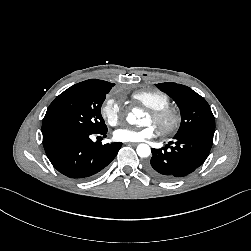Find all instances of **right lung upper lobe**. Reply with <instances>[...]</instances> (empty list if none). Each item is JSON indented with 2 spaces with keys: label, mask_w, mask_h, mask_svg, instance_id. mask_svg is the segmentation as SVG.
Here are the masks:
<instances>
[{
  "label": "right lung upper lobe",
  "mask_w": 251,
  "mask_h": 251,
  "mask_svg": "<svg viewBox=\"0 0 251 251\" xmlns=\"http://www.w3.org/2000/svg\"><path fill=\"white\" fill-rule=\"evenodd\" d=\"M84 82L89 83V84H93V85H96V86H99V87H104V88H107V87L112 88L114 86L113 83L106 82V81H103V80H97V79H90V80H86Z\"/></svg>",
  "instance_id": "cb5924a9"
}]
</instances>
